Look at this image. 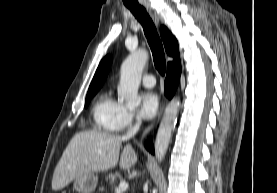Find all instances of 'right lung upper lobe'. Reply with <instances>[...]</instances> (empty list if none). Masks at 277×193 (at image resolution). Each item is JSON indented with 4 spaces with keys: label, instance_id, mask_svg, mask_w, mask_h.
Returning <instances> with one entry per match:
<instances>
[{
    "label": "right lung upper lobe",
    "instance_id": "1",
    "mask_svg": "<svg viewBox=\"0 0 277 193\" xmlns=\"http://www.w3.org/2000/svg\"><path fill=\"white\" fill-rule=\"evenodd\" d=\"M161 38L164 42V46L168 55L173 56L174 59L179 57V47L176 38L172 35V33L165 27H160ZM112 58L110 56H106L100 62L98 69L94 75V78L90 84L88 93H94L99 90L102 86L103 82L106 79L108 71L110 69Z\"/></svg>",
    "mask_w": 277,
    "mask_h": 193
}]
</instances>
